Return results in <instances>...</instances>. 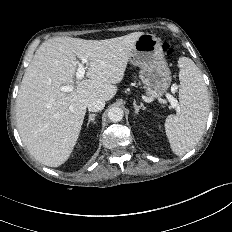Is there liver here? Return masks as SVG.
I'll list each match as a JSON object with an SVG mask.
<instances>
[{
    "label": "liver",
    "mask_w": 232,
    "mask_h": 232,
    "mask_svg": "<svg viewBox=\"0 0 232 232\" xmlns=\"http://www.w3.org/2000/svg\"><path fill=\"white\" fill-rule=\"evenodd\" d=\"M143 32L105 40L54 37L40 45L23 76L16 118L20 137L40 163L66 162L79 137L88 103L112 99ZM77 58L87 59L86 76L75 78ZM71 85L70 92L60 90Z\"/></svg>",
    "instance_id": "1"
}]
</instances>
